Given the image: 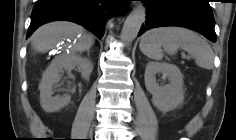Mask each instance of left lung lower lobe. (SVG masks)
I'll return each mask as SVG.
<instances>
[{"label":"left lung lower lobe","mask_w":236,"mask_h":140,"mask_svg":"<svg viewBox=\"0 0 236 140\" xmlns=\"http://www.w3.org/2000/svg\"><path fill=\"white\" fill-rule=\"evenodd\" d=\"M147 19L139 34L162 26H181L193 29L210 41H216L214 17L209 0H143Z\"/></svg>","instance_id":"obj_1"}]
</instances>
